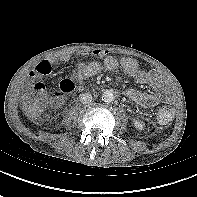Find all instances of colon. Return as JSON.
<instances>
[{"instance_id":"5ec220e1","label":"colon","mask_w":197,"mask_h":197,"mask_svg":"<svg viewBox=\"0 0 197 197\" xmlns=\"http://www.w3.org/2000/svg\"><path fill=\"white\" fill-rule=\"evenodd\" d=\"M74 87L75 84L72 79H63L59 84V92L53 96L52 101L58 104L61 97L71 93ZM45 97L46 87L42 82L35 83L33 89L24 96L22 107L30 118H37L41 114ZM173 116L174 110L169 106H163L159 109L157 118L160 123L167 124L172 120Z\"/></svg>"}]
</instances>
